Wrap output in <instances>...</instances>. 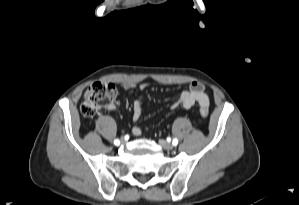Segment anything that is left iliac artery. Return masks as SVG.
Instances as JSON below:
<instances>
[{"instance_id": "obj_1", "label": "left iliac artery", "mask_w": 299, "mask_h": 205, "mask_svg": "<svg viewBox=\"0 0 299 205\" xmlns=\"http://www.w3.org/2000/svg\"><path fill=\"white\" fill-rule=\"evenodd\" d=\"M172 144L174 145V146H176L177 144H178V140L175 138V139H173V142H172Z\"/></svg>"}]
</instances>
